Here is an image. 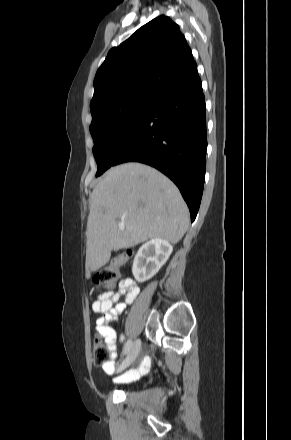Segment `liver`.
Returning a JSON list of instances; mask_svg holds the SVG:
<instances>
[{
  "mask_svg": "<svg viewBox=\"0 0 291 440\" xmlns=\"http://www.w3.org/2000/svg\"><path fill=\"white\" fill-rule=\"evenodd\" d=\"M124 222L125 228L118 227ZM189 226L179 189L156 169L140 163L110 168L91 195L86 232V271L104 266L111 251L148 239L178 243Z\"/></svg>",
  "mask_w": 291,
  "mask_h": 440,
  "instance_id": "1",
  "label": "liver"
}]
</instances>
